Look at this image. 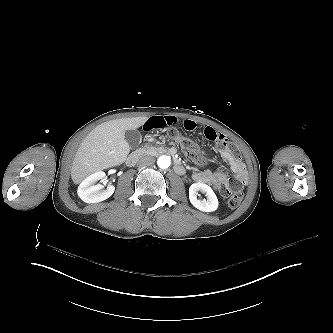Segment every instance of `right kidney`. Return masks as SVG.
<instances>
[{"label": "right kidney", "instance_id": "1", "mask_svg": "<svg viewBox=\"0 0 333 333\" xmlns=\"http://www.w3.org/2000/svg\"><path fill=\"white\" fill-rule=\"evenodd\" d=\"M106 174L103 171H99L87 177L78 188V195L85 203H99L113 195L115 192V186L108 184L106 190H102V184H96L100 179H105Z\"/></svg>", "mask_w": 333, "mask_h": 333}]
</instances>
